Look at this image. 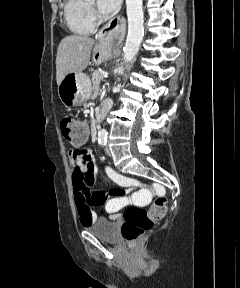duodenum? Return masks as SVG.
<instances>
[{
    "label": "duodenum",
    "mask_w": 240,
    "mask_h": 288,
    "mask_svg": "<svg viewBox=\"0 0 240 288\" xmlns=\"http://www.w3.org/2000/svg\"><path fill=\"white\" fill-rule=\"evenodd\" d=\"M111 106H112L111 100H106L102 104V106L96 110L95 116H94V121L96 123L100 122L105 117V115L107 114V112L109 111Z\"/></svg>",
    "instance_id": "410a0bca"
}]
</instances>
